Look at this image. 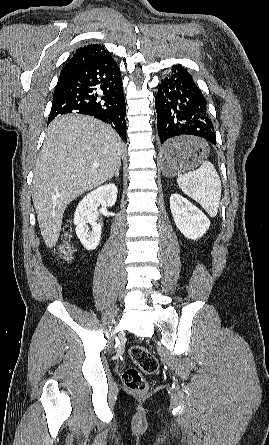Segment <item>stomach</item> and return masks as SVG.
<instances>
[{
  "mask_svg": "<svg viewBox=\"0 0 269 445\" xmlns=\"http://www.w3.org/2000/svg\"><path fill=\"white\" fill-rule=\"evenodd\" d=\"M177 142L181 146L177 153H160L161 170L167 177H174L195 168L208 152L207 145L198 138L184 137L177 139Z\"/></svg>",
  "mask_w": 269,
  "mask_h": 445,
  "instance_id": "stomach-1",
  "label": "stomach"
}]
</instances>
